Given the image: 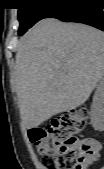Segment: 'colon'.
<instances>
[{
	"label": "colon",
	"instance_id": "obj_1",
	"mask_svg": "<svg viewBox=\"0 0 104 169\" xmlns=\"http://www.w3.org/2000/svg\"><path fill=\"white\" fill-rule=\"evenodd\" d=\"M88 110L79 107L58 117L43 128L29 130L45 169H85L98 157L96 146L77 135L84 129Z\"/></svg>",
	"mask_w": 104,
	"mask_h": 169
}]
</instances>
